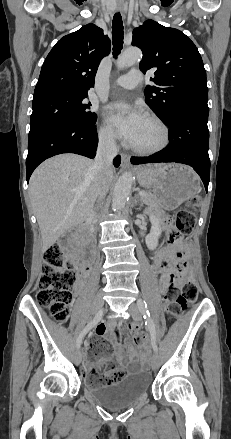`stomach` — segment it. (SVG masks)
Returning a JSON list of instances; mask_svg holds the SVG:
<instances>
[{
  "label": "stomach",
  "instance_id": "0dacf381",
  "mask_svg": "<svg viewBox=\"0 0 231 439\" xmlns=\"http://www.w3.org/2000/svg\"><path fill=\"white\" fill-rule=\"evenodd\" d=\"M141 186L153 191L158 208L176 209L200 191L198 175L190 167L180 164H162L158 167H142L137 170Z\"/></svg>",
  "mask_w": 231,
  "mask_h": 439
}]
</instances>
